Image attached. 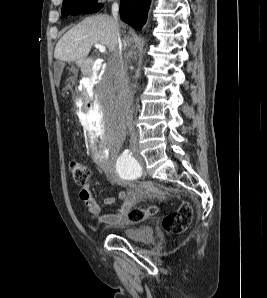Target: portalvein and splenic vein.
Masks as SVG:
<instances>
[{
  "instance_id": "18ae733b",
  "label": "portal vein and splenic vein",
  "mask_w": 267,
  "mask_h": 298,
  "mask_svg": "<svg viewBox=\"0 0 267 298\" xmlns=\"http://www.w3.org/2000/svg\"><path fill=\"white\" fill-rule=\"evenodd\" d=\"M96 49H98L101 53H104L106 51V47L104 45L101 44H95L94 45Z\"/></svg>"
}]
</instances>
